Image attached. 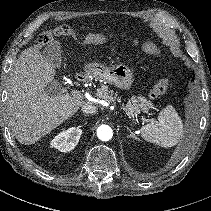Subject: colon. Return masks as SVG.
I'll return each instance as SVG.
<instances>
[{"label": "colon", "mask_w": 211, "mask_h": 211, "mask_svg": "<svg viewBox=\"0 0 211 211\" xmlns=\"http://www.w3.org/2000/svg\"><path fill=\"white\" fill-rule=\"evenodd\" d=\"M54 36H67L73 39H77V36L71 27L67 25H62L52 30L42 32L37 38V44L39 46H44L50 43L53 40ZM171 85L172 82L169 79L159 80L150 91L149 93L150 98L151 99L160 98L170 89Z\"/></svg>", "instance_id": "5ec220e1"}]
</instances>
